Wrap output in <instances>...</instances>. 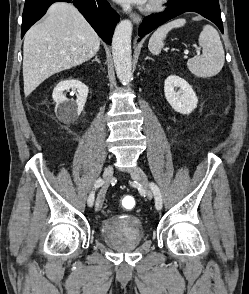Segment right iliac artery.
<instances>
[{
	"label": "right iliac artery",
	"mask_w": 249,
	"mask_h": 294,
	"mask_svg": "<svg viewBox=\"0 0 249 294\" xmlns=\"http://www.w3.org/2000/svg\"><path fill=\"white\" fill-rule=\"evenodd\" d=\"M103 185V180L102 179H98L95 184H94V188H99L100 186ZM88 205L89 206H93V203H94V192H92L89 197H88Z\"/></svg>",
	"instance_id": "82829eb1"
}]
</instances>
